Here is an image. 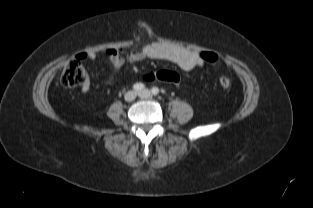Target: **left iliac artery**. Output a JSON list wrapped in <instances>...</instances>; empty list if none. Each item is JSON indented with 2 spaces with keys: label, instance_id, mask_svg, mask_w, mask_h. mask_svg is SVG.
<instances>
[{
  "label": "left iliac artery",
  "instance_id": "44dca946",
  "mask_svg": "<svg viewBox=\"0 0 313 208\" xmlns=\"http://www.w3.org/2000/svg\"><path fill=\"white\" fill-rule=\"evenodd\" d=\"M151 92H152L153 95H157L159 93V89L157 87H153L151 89Z\"/></svg>",
  "mask_w": 313,
  "mask_h": 208
}]
</instances>
